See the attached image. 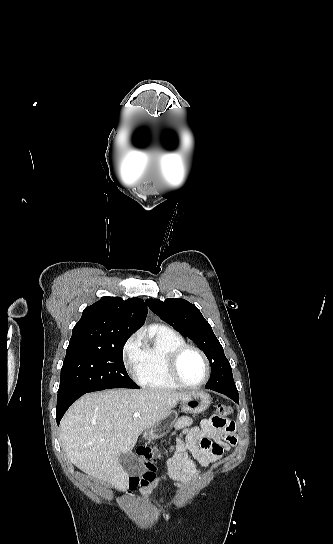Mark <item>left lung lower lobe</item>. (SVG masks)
Masks as SVG:
<instances>
[{"mask_svg": "<svg viewBox=\"0 0 333 544\" xmlns=\"http://www.w3.org/2000/svg\"><path fill=\"white\" fill-rule=\"evenodd\" d=\"M214 391L222 393V394L228 396L229 398H231L236 403H239L238 391H225V390H214Z\"/></svg>", "mask_w": 333, "mask_h": 544, "instance_id": "obj_1", "label": "left lung lower lobe"}]
</instances>
